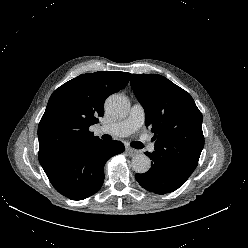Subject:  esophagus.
<instances>
[{
  "instance_id": "34e87169",
  "label": "esophagus",
  "mask_w": 248,
  "mask_h": 248,
  "mask_svg": "<svg viewBox=\"0 0 248 248\" xmlns=\"http://www.w3.org/2000/svg\"><path fill=\"white\" fill-rule=\"evenodd\" d=\"M126 151H127V153H128L129 156H134L135 154L138 153V150L133 149V148H131V147H127V148H126Z\"/></svg>"
}]
</instances>
